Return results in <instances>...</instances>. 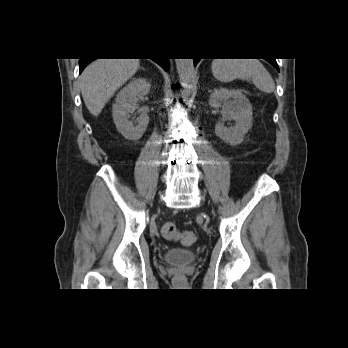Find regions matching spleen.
Wrapping results in <instances>:
<instances>
[{"mask_svg":"<svg viewBox=\"0 0 348 348\" xmlns=\"http://www.w3.org/2000/svg\"><path fill=\"white\" fill-rule=\"evenodd\" d=\"M211 68L213 76L221 82L251 80L264 93L275 90L273 78L258 59H214Z\"/></svg>","mask_w":348,"mask_h":348,"instance_id":"spleen-1","label":"spleen"}]
</instances>
